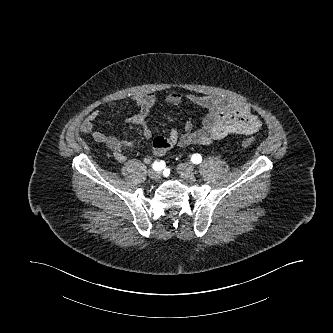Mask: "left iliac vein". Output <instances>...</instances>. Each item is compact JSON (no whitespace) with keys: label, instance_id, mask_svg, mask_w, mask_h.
<instances>
[{"label":"left iliac vein","instance_id":"left-iliac-vein-1","mask_svg":"<svg viewBox=\"0 0 333 333\" xmlns=\"http://www.w3.org/2000/svg\"><path fill=\"white\" fill-rule=\"evenodd\" d=\"M177 171L184 179L193 180L195 177L194 168L190 164L180 163L177 166Z\"/></svg>","mask_w":333,"mask_h":333}]
</instances>
